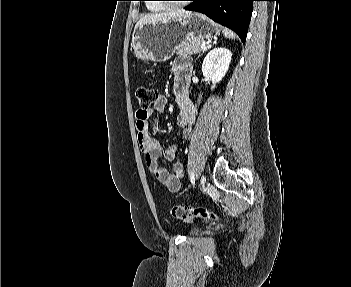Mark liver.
<instances>
[{
  "label": "liver",
  "instance_id": "obj_1",
  "mask_svg": "<svg viewBox=\"0 0 351 287\" xmlns=\"http://www.w3.org/2000/svg\"><path fill=\"white\" fill-rule=\"evenodd\" d=\"M190 14H192L190 11H185L183 9H177L174 11L163 12V13L148 14L140 18L135 28L138 27L139 25L147 24V23H157V22L166 23L170 20H178V19L187 17Z\"/></svg>",
  "mask_w": 351,
  "mask_h": 287
}]
</instances>
